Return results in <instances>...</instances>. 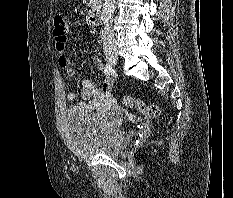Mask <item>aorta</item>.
I'll list each match as a JSON object with an SVG mask.
<instances>
[{
    "instance_id": "1",
    "label": "aorta",
    "mask_w": 233,
    "mask_h": 198,
    "mask_svg": "<svg viewBox=\"0 0 233 198\" xmlns=\"http://www.w3.org/2000/svg\"><path fill=\"white\" fill-rule=\"evenodd\" d=\"M114 9H115V0H104V7L102 11V20L104 23L111 20Z\"/></svg>"
}]
</instances>
